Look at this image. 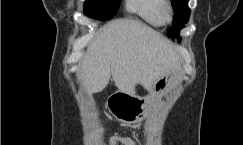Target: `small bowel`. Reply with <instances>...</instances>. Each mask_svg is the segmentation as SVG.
<instances>
[{
  "label": "small bowel",
  "instance_id": "small-bowel-1",
  "mask_svg": "<svg viewBox=\"0 0 243 145\" xmlns=\"http://www.w3.org/2000/svg\"><path fill=\"white\" fill-rule=\"evenodd\" d=\"M136 145L134 140L131 137L127 136H112L109 139V145Z\"/></svg>",
  "mask_w": 243,
  "mask_h": 145
}]
</instances>
